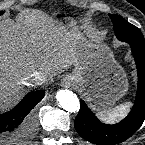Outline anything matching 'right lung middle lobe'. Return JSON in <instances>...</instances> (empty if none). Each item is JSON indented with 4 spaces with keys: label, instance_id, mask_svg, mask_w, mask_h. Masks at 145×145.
<instances>
[{
    "label": "right lung middle lobe",
    "instance_id": "obj_1",
    "mask_svg": "<svg viewBox=\"0 0 145 145\" xmlns=\"http://www.w3.org/2000/svg\"><path fill=\"white\" fill-rule=\"evenodd\" d=\"M3 14V12H0V15H2Z\"/></svg>",
    "mask_w": 145,
    "mask_h": 145
}]
</instances>
